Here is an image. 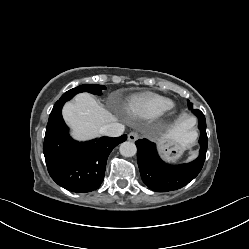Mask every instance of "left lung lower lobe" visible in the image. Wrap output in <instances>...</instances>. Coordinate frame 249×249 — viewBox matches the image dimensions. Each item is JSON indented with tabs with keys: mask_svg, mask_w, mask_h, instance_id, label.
I'll list each match as a JSON object with an SVG mask.
<instances>
[{
	"mask_svg": "<svg viewBox=\"0 0 249 249\" xmlns=\"http://www.w3.org/2000/svg\"><path fill=\"white\" fill-rule=\"evenodd\" d=\"M193 113L198 117V127L201 131L199 156L194 161L182 165L164 163L156 150V145L147 139L136 141L137 162L143 182L153 191H172L187 185L201 171L208 146L206 134V120L204 114L195 109Z\"/></svg>",
	"mask_w": 249,
	"mask_h": 249,
	"instance_id": "0a47b994",
	"label": "left lung lower lobe"
}]
</instances>
